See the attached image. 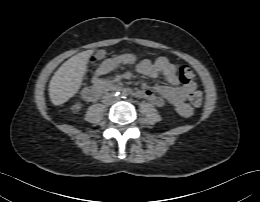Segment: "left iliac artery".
Instances as JSON below:
<instances>
[{
    "mask_svg": "<svg viewBox=\"0 0 260 202\" xmlns=\"http://www.w3.org/2000/svg\"><path fill=\"white\" fill-rule=\"evenodd\" d=\"M128 96V93L126 91L122 92V98H126Z\"/></svg>",
    "mask_w": 260,
    "mask_h": 202,
    "instance_id": "obj_1",
    "label": "left iliac artery"
}]
</instances>
